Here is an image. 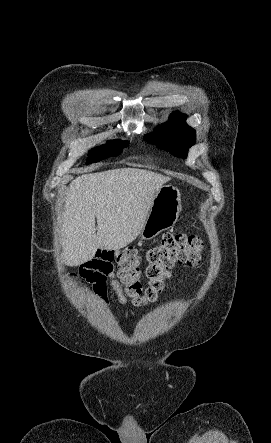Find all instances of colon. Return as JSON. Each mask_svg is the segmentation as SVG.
<instances>
[{"label": "colon", "mask_w": 271, "mask_h": 443, "mask_svg": "<svg viewBox=\"0 0 271 443\" xmlns=\"http://www.w3.org/2000/svg\"><path fill=\"white\" fill-rule=\"evenodd\" d=\"M204 244L199 237L186 234H166L160 243L147 252V287L140 282V256L134 248L101 250L96 260L104 264L116 262L118 277L124 294L135 305L147 304L157 299L163 291L171 270L177 264L196 266L201 261Z\"/></svg>", "instance_id": "5ec220e1"}]
</instances>
